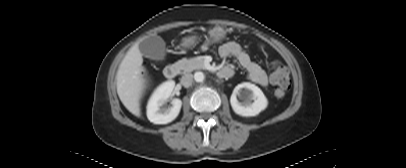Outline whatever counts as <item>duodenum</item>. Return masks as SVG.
Masks as SVG:
<instances>
[{
    "label": "duodenum",
    "instance_id": "410a0bca",
    "mask_svg": "<svg viewBox=\"0 0 406 168\" xmlns=\"http://www.w3.org/2000/svg\"><path fill=\"white\" fill-rule=\"evenodd\" d=\"M164 76L167 79H173L175 78L178 73H179V66L176 64H171L168 65L165 69H164ZM216 74L219 78L224 79V78H229L232 76L233 71L230 68H222V69H218L216 71Z\"/></svg>",
    "mask_w": 406,
    "mask_h": 168
}]
</instances>
